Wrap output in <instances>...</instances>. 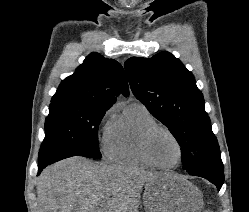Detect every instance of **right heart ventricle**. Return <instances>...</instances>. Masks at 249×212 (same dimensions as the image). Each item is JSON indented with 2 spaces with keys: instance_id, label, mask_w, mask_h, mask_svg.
Instances as JSON below:
<instances>
[{
  "instance_id": "1",
  "label": "right heart ventricle",
  "mask_w": 249,
  "mask_h": 212,
  "mask_svg": "<svg viewBox=\"0 0 249 212\" xmlns=\"http://www.w3.org/2000/svg\"><path fill=\"white\" fill-rule=\"evenodd\" d=\"M157 121L149 109L138 101L124 106L121 115L107 127L104 152L114 162L139 168L154 167L144 156L142 136Z\"/></svg>"
}]
</instances>
